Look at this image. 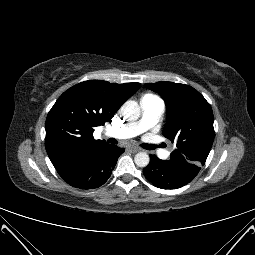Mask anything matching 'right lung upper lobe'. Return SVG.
Here are the masks:
<instances>
[{
	"mask_svg": "<svg viewBox=\"0 0 255 255\" xmlns=\"http://www.w3.org/2000/svg\"><path fill=\"white\" fill-rule=\"evenodd\" d=\"M140 86L89 80L65 91L49 111L45 124L46 151L54 167L107 145L94 139V127L111 121Z\"/></svg>",
	"mask_w": 255,
	"mask_h": 255,
	"instance_id": "obj_1",
	"label": "right lung upper lobe"
}]
</instances>
